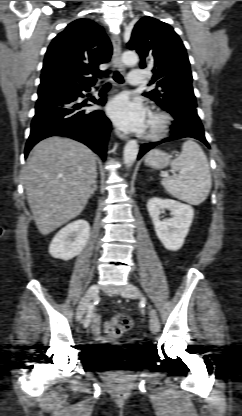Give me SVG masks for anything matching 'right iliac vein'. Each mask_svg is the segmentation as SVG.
I'll return each mask as SVG.
<instances>
[{
  "instance_id": "obj_1",
  "label": "right iliac vein",
  "mask_w": 242,
  "mask_h": 416,
  "mask_svg": "<svg viewBox=\"0 0 242 416\" xmlns=\"http://www.w3.org/2000/svg\"><path fill=\"white\" fill-rule=\"evenodd\" d=\"M97 294H98V286L94 284L88 289V291L86 292V294L84 295V297L79 303V306L77 308V313H76L77 320L82 319L85 311L87 310L89 303L94 297H96Z\"/></svg>"
}]
</instances>
